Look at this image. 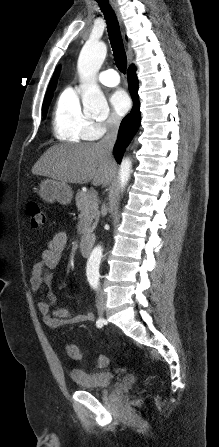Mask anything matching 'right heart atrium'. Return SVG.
I'll return each instance as SVG.
<instances>
[{
  "instance_id": "1",
  "label": "right heart atrium",
  "mask_w": 219,
  "mask_h": 447,
  "mask_svg": "<svg viewBox=\"0 0 219 447\" xmlns=\"http://www.w3.org/2000/svg\"><path fill=\"white\" fill-rule=\"evenodd\" d=\"M120 125V118L116 115L109 116L106 120L96 123V132L99 137L115 131Z\"/></svg>"
}]
</instances>
